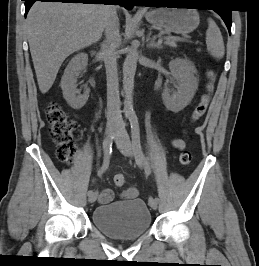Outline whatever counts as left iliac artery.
Segmentation results:
<instances>
[{
    "label": "left iliac artery",
    "instance_id": "1",
    "mask_svg": "<svg viewBox=\"0 0 259 266\" xmlns=\"http://www.w3.org/2000/svg\"><path fill=\"white\" fill-rule=\"evenodd\" d=\"M129 121L131 125L132 143H133V149H134L135 155L143 163L146 174H150L149 161L146 158L145 154L143 153V150L141 147L140 128H139L138 118L136 114L132 113L129 116ZM154 199L156 203L160 202V199H157V198H154Z\"/></svg>",
    "mask_w": 259,
    "mask_h": 266
}]
</instances>
